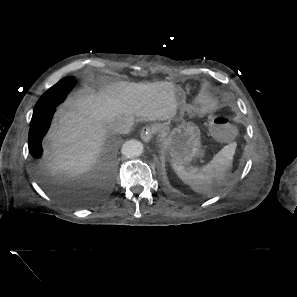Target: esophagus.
I'll return each instance as SVG.
<instances>
[{
  "label": "esophagus",
  "instance_id": "1",
  "mask_svg": "<svg viewBox=\"0 0 297 297\" xmlns=\"http://www.w3.org/2000/svg\"><path fill=\"white\" fill-rule=\"evenodd\" d=\"M155 132H156V130L154 127L145 126L142 128V130L140 132V137L144 142H149L153 138Z\"/></svg>",
  "mask_w": 297,
  "mask_h": 297
}]
</instances>
